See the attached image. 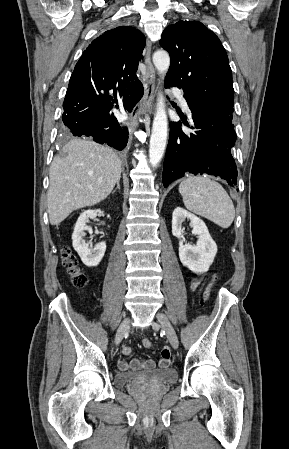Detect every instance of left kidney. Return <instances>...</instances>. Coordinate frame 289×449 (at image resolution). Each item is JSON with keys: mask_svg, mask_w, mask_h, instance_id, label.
<instances>
[{"mask_svg": "<svg viewBox=\"0 0 289 449\" xmlns=\"http://www.w3.org/2000/svg\"><path fill=\"white\" fill-rule=\"evenodd\" d=\"M186 219H189L192 224V234L198 235L196 245L183 244L182 222ZM172 234L179 239L181 263L194 273L207 272L216 256L217 245L203 220L185 209L177 207L172 214Z\"/></svg>", "mask_w": 289, "mask_h": 449, "instance_id": "5707ae66", "label": "left kidney"}]
</instances>
